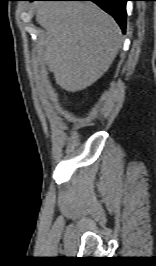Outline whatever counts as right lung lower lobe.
<instances>
[{
	"label": "right lung lower lobe",
	"instance_id": "1",
	"mask_svg": "<svg viewBox=\"0 0 156 266\" xmlns=\"http://www.w3.org/2000/svg\"><path fill=\"white\" fill-rule=\"evenodd\" d=\"M31 1H92L112 15L123 32L126 28V2L128 0H31Z\"/></svg>",
	"mask_w": 156,
	"mask_h": 266
}]
</instances>
